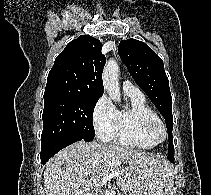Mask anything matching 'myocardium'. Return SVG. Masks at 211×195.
<instances>
[{
    "label": "myocardium",
    "instance_id": "obj_1",
    "mask_svg": "<svg viewBox=\"0 0 211 195\" xmlns=\"http://www.w3.org/2000/svg\"><path fill=\"white\" fill-rule=\"evenodd\" d=\"M143 132L157 144L163 142L167 137V128L159 117L146 119L143 123Z\"/></svg>",
    "mask_w": 211,
    "mask_h": 195
}]
</instances>
